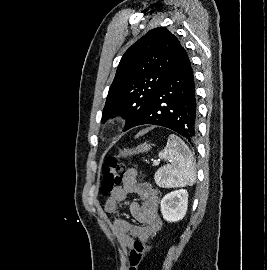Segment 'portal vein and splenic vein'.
Listing matches in <instances>:
<instances>
[{"label": "portal vein and splenic vein", "mask_w": 267, "mask_h": 270, "mask_svg": "<svg viewBox=\"0 0 267 270\" xmlns=\"http://www.w3.org/2000/svg\"><path fill=\"white\" fill-rule=\"evenodd\" d=\"M159 162H160V160H154V165H158L159 164Z\"/></svg>", "instance_id": "portal-vein-and-splenic-vein-1"}]
</instances>
